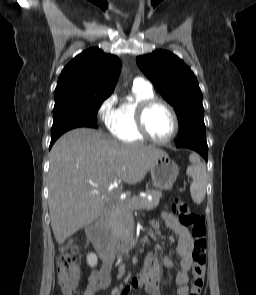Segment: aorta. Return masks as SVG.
Returning <instances> with one entry per match:
<instances>
[{
	"label": "aorta",
	"mask_w": 256,
	"mask_h": 295,
	"mask_svg": "<svg viewBox=\"0 0 256 295\" xmlns=\"http://www.w3.org/2000/svg\"><path fill=\"white\" fill-rule=\"evenodd\" d=\"M128 100H129V101H132V97H128Z\"/></svg>",
	"instance_id": "1"
}]
</instances>
